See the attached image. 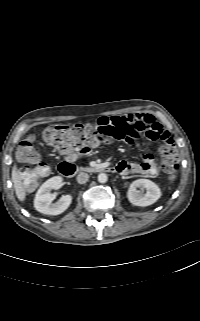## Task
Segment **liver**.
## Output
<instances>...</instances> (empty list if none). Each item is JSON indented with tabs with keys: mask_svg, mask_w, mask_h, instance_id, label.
<instances>
[{
	"mask_svg": "<svg viewBox=\"0 0 200 321\" xmlns=\"http://www.w3.org/2000/svg\"><path fill=\"white\" fill-rule=\"evenodd\" d=\"M12 182L14 185L17 198L20 201H24L26 198V192H25L24 185L22 183V176L18 172L16 165H14L12 169Z\"/></svg>",
	"mask_w": 200,
	"mask_h": 321,
	"instance_id": "1",
	"label": "liver"
}]
</instances>
